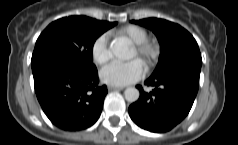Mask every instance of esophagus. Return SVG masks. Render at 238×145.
<instances>
[{
  "label": "esophagus",
  "mask_w": 238,
  "mask_h": 145,
  "mask_svg": "<svg viewBox=\"0 0 238 145\" xmlns=\"http://www.w3.org/2000/svg\"><path fill=\"white\" fill-rule=\"evenodd\" d=\"M124 87H116V86H109L108 87V90L112 91V90H117V91H120V90H123Z\"/></svg>",
  "instance_id": "obj_1"
}]
</instances>
